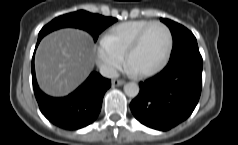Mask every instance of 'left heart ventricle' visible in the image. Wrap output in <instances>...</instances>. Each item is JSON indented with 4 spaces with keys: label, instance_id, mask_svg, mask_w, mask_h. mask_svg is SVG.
Masks as SVG:
<instances>
[{
    "label": "left heart ventricle",
    "instance_id": "1",
    "mask_svg": "<svg viewBox=\"0 0 238 145\" xmlns=\"http://www.w3.org/2000/svg\"><path fill=\"white\" fill-rule=\"evenodd\" d=\"M167 33L161 26H153L145 34L140 46L131 54L128 65L136 72L154 67L164 55Z\"/></svg>",
    "mask_w": 238,
    "mask_h": 145
}]
</instances>
